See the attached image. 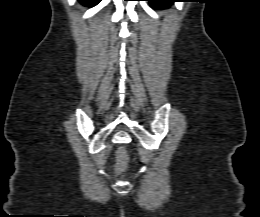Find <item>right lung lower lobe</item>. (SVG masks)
<instances>
[{
    "label": "right lung lower lobe",
    "mask_w": 260,
    "mask_h": 217,
    "mask_svg": "<svg viewBox=\"0 0 260 217\" xmlns=\"http://www.w3.org/2000/svg\"><path fill=\"white\" fill-rule=\"evenodd\" d=\"M83 5L93 7L98 4L101 0H79Z\"/></svg>",
    "instance_id": "right-lung-lower-lobe-1"
}]
</instances>
